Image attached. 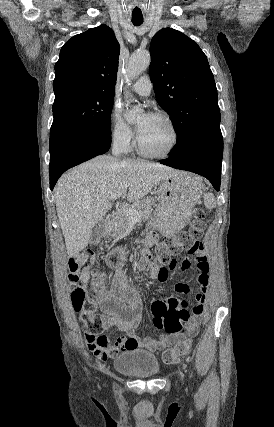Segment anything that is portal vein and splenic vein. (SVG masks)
I'll return each instance as SVG.
<instances>
[{
	"label": "portal vein and splenic vein",
	"mask_w": 274,
	"mask_h": 427,
	"mask_svg": "<svg viewBox=\"0 0 274 427\" xmlns=\"http://www.w3.org/2000/svg\"><path fill=\"white\" fill-rule=\"evenodd\" d=\"M122 194L120 192H116L113 196H110L109 200H117V198H121ZM129 219H135V221H139L140 214L136 212V210H132V208H127L126 210Z\"/></svg>",
	"instance_id": "obj_1"
}]
</instances>
